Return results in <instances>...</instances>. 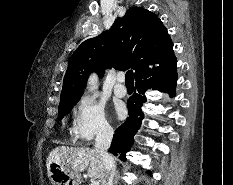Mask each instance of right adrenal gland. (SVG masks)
<instances>
[{
    "label": "right adrenal gland",
    "mask_w": 233,
    "mask_h": 185,
    "mask_svg": "<svg viewBox=\"0 0 233 185\" xmlns=\"http://www.w3.org/2000/svg\"><path fill=\"white\" fill-rule=\"evenodd\" d=\"M118 178H119V174H118V171H117V172H116V175H115L114 185H117V183H118Z\"/></svg>",
    "instance_id": "obj_1"
}]
</instances>
